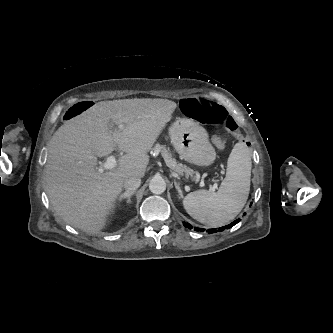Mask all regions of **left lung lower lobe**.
<instances>
[{
    "instance_id": "0a47b994",
    "label": "left lung lower lobe",
    "mask_w": 333,
    "mask_h": 333,
    "mask_svg": "<svg viewBox=\"0 0 333 333\" xmlns=\"http://www.w3.org/2000/svg\"><path fill=\"white\" fill-rule=\"evenodd\" d=\"M239 221H240V219L235 220L234 222H232V223L229 224V225H226V226L220 227V228L218 229V231H223V230H225V229L231 228L232 226L236 225ZM183 224H184V226H185L186 228L193 229V226L190 225L189 223H187V222H183ZM194 229H195L196 231H200V232H204V231H205V229H201V228H197V227H195ZM206 232H208L209 234H211V233H216L217 230H216V229H208Z\"/></svg>"
}]
</instances>
